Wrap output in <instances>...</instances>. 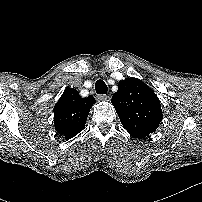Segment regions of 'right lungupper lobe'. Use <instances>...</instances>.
Here are the masks:
<instances>
[{"label": "right lung upper lobe", "instance_id": "cb5924a9", "mask_svg": "<svg viewBox=\"0 0 202 202\" xmlns=\"http://www.w3.org/2000/svg\"><path fill=\"white\" fill-rule=\"evenodd\" d=\"M95 102L91 95L81 98L74 88L65 89L53 110L58 134L70 139L80 133L85 128L89 111Z\"/></svg>", "mask_w": 202, "mask_h": 202}]
</instances>
